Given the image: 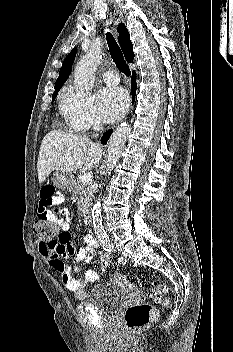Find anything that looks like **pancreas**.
I'll return each mask as SVG.
<instances>
[{
    "mask_svg": "<svg viewBox=\"0 0 233 352\" xmlns=\"http://www.w3.org/2000/svg\"><path fill=\"white\" fill-rule=\"evenodd\" d=\"M73 193L78 196V208L81 211H84L88 206L92 196V187L89 183L83 184L80 178H76L73 180L72 185Z\"/></svg>",
    "mask_w": 233,
    "mask_h": 352,
    "instance_id": "cf45deb5",
    "label": "pancreas"
}]
</instances>
